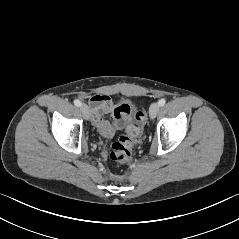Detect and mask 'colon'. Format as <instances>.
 <instances>
[{
    "mask_svg": "<svg viewBox=\"0 0 239 239\" xmlns=\"http://www.w3.org/2000/svg\"><path fill=\"white\" fill-rule=\"evenodd\" d=\"M144 121V114L138 112L135 122L126 127L124 135H121L111 146L110 158L119 163H126L132 156L135 143L141 134V124Z\"/></svg>",
    "mask_w": 239,
    "mask_h": 239,
    "instance_id": "obj_1",
    "label": "colon"
}]
</instances>
